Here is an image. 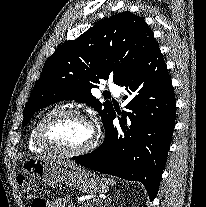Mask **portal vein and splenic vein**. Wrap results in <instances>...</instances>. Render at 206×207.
Segmentation results:
<instances>
[{
	"instance_id": "obj_1",
	"label": "portal vein and splenic vein",
	"mask_w": 206,
	"mask_h": 207,
	"mask_svg": "<svg viewBox=\"0 0 206 207\" xmlns=\"http://www.w3.org/2000/svg\"><path fill=\"white\" fill-rule=\"evenodd\" d=\"M95 203L98 204V203H100V201L99 200H96Z\"/></svg>"
}]
</instances>
